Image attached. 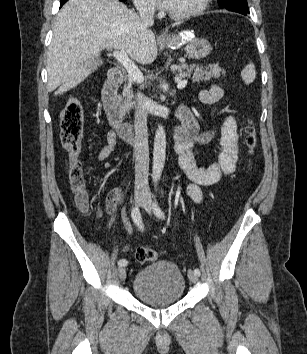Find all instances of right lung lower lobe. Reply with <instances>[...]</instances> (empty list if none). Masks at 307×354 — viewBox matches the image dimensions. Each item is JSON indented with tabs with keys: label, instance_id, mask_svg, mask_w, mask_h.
I'll return each instance as SVG.
<instances>
[{
	"label": "right lung lower lobe",
	"instance_id": "right-lung-lower-lobe-1",
	"mask_svg": "<svg viewBox=\"0 0 307 354\" xmlns=\"http://www.w3.org/2000/svg\"><path fill=\"white\" fill-rule=\"evenodd\" d=\"M66 1H68V0H61V1H60V7H61Z\"/></svg>",
	"mask_w": 307,
	"mask_h": 354
}]
</instances>
